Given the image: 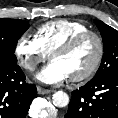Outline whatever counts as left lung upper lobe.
<instances>
[{
	"instance_id": "1",
	"label": "left lung upper lobe",
	"mask_w": 118,
	"mask_h": 118,
	"mask_svg": "<svg viewBox=\"0 0 118 118\" xmlns=\"http://www.w3.org/2000/svg\"><path fill=\"white\" fill-rule=\"evenodd\" d=\"M95 22L103 38L104 54L101 65L91 81L118 73V31L100 20Z\"/></svg>"
}]
</instances>
